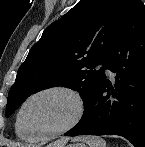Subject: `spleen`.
<instances>
[{
	"label": "spleen",
	"instance_id": "1",
	"mask_svg": "<svg viewBox=\"0 0 145 147\" xmlns=\"http://www.w3.org/2000/svg\"><path fill=\"white\" fill-rule=\"evenodd\" d=\"M79 140L85 142L89 147H106L105 140L97 136H84Z\"/></svg>",
	"mask_w": 145,
	"mask_h": 147
}]
</instances>
